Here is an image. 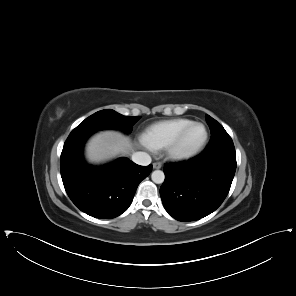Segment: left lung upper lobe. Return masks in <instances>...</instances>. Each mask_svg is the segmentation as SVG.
<instances>
[{"instance_id": "5c2ea615", "label": "left lung upper lobe", "mask_w": 296, "mask_h": 296, "mask_svg": "<svg viewBox=\"0 0 296 296\" xmlns=\"http://www.w3.org/2000/svg\"><path fill=\"white\" fill-rule=\"evenodd\" d=\"M205 118L211 130V140L200 157L207 160L222 153H235L233 141L223 126L209 115Z\"/></svg>"}]
</instances>
